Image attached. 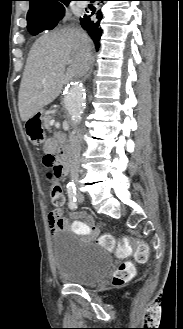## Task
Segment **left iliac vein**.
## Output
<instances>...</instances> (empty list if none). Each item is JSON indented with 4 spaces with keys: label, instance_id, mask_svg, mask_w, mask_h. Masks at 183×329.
Segmentation results:
<instances>
[{
    "label": "left iliac vein",
    "instance_id": "4c4485c4",
    "mask_svg": "<svg viewBox=\"0 0 183 329\" xmlns=\"http://www.w3.org/2000/svg\"><path fill=\"white\" fill-rule=\"evenodd\" d=\"M77 200H78L79 203H82L84 201V196L82 194H79L77 196Z\"/></svg>",
    "mask_w": 183,
    "mask_h": 329
}]
</instances>
